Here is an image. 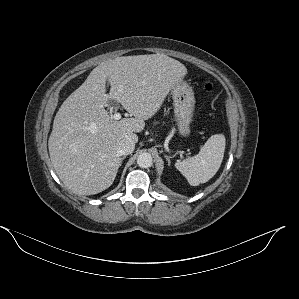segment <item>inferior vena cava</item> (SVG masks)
Here are the masks:
<instances>
[{
    "instance_id": "inferior-vena-cava-1",
    "label": "inferior vena cava",
    "mask_w": 299,
    "mask_h": 299,
    "mask_svg": "<svg viewBox=\"0 0 299 299\" xmlns=\"http://www.w3.org/2000/svg\"><path fill=\"white\" fill-rule=\"evenodd\" d=\"M135 149V143L131 139H123L119 142L118 153L120 155H129Z\"/></svg>"
}]
</instances>
